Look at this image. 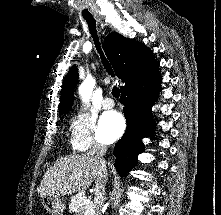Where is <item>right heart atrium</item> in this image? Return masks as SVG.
<instances>
[{
    "label": "right heart atrium",
    "mask_w": 221,
    "mask_h": 215,
    "mask_svg": "<svg viewBox=\"0 0 221 215\" xmlns=\"http://www.w3.org/2000/svg\"><path fill=\"white\" fill-rule=\"evenodd\" d=\"M106 141L100 135L96 117L87 112L77 113L71 121V145L75 151H87Z\"/></svg>",
    "instance_id": "d8ad5b80"
}]
</instances>
